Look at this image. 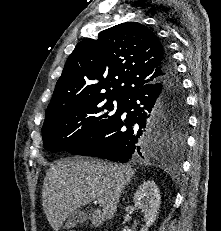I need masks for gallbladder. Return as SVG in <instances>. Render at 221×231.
I'll use <instances>...</instances> for the list:
<instances>
[{"mask_svg": "<svg viewBox=\"0 0 221 231\" xmlns=\"http://www.w3.org/2000/svg\"><path fill=\"white\" fill-rule=\"evenodd\" d=\"M88 219H90V215L80 211V210H75L74 212H72L70 214V216L68 217L64 228L65 229H70L75 227L77 224L83 223L85 221H87Z\"/></svg>", "mask_w": 221, "mask_h": 231, "instance_id": "gallbladder-1", "label": "gallbladder"}]
</instances>
